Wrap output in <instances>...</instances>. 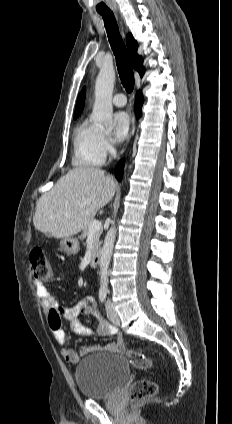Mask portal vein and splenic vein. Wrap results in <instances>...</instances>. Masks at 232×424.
<instances>
[{
    "instance_id": "1",
    "label": "portal vein and splenic vein",
    "mask_w": 232,
    "mask_h": 424,
    "mask_svg": "<svg viewBox=\"0 0 232 424\" xmlns=\"http://www.w3.org/2000/svg\"><path fill=\"white\" fill-rule=\"evenodd\" d=\"M90 232L92 233V232H96V231H99L100 229H102V225H101V222L100 221H96V220H94L92 223H91V225H90Z\"/></svg>"
}]
</instances>
